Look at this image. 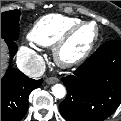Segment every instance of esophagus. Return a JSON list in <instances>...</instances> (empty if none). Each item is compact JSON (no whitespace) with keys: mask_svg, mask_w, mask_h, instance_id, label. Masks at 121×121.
<instances>
[{"mask_svg":"<svg viewBox=\"0 0 121 121\" xmlns=\"http://www.w3.org/2000/svg\"><path fill=\"white\" fill-rule=\"evenodd\" d=\"M59 82V79L57 77H49L46 79V83L47 84H54Z\"/></svg>","mask_w":121,"mask_h":121,"instance_id":"34e87169","label":"esophagus"}]
</instances>
